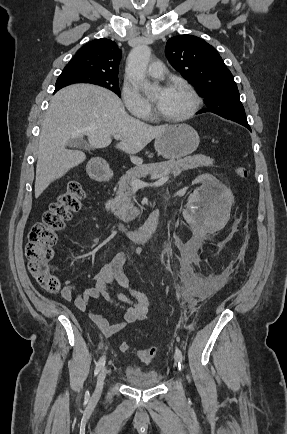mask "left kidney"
<instances>
[{
  "mask_svg": "<svg viewBox=\"0 0 287 434\" xmlns=\"http://www.w3.org/2000/svg\"><path fill=\"white\" fill-rule=\"evenodd\" d=\"M196 181L202 183V186L189 196L186 209L183 211L185 220L191 225H196L204 219H211L210 215L218 218L228 216L234 200L232 192L209 174L199 176ZM194 205L203 206V209H198Z\"/></svg>",
  "mask_w": 287,
  "mask_h": 434,
  "instance_id": "5707ae66",
  "label": "left kidney"
}]
</instances>
